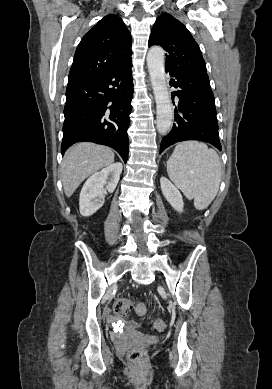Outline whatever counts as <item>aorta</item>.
I'll list each match as a JSON object with an SVG mask.
<instances>
[{"label": "aorta", "mask_w": 272, "mask_h": 389, "mask_svg": "<svg viewBox=\"0 0 272 389\" xmlns=\"http://www.w3.org/2000/svg\"><path fill=\"white\" fill-rule=\"evenodd\" d=\"M165 51L159 46L149 49L147 66L156 101L157 130L161 135L168 133L172 126L173 109L165 80Z\"/></svg>", "instance_id": "obj_1"}]
</instances>
